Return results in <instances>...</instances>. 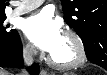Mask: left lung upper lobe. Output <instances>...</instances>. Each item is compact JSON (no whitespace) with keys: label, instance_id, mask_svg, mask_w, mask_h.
<instances>
[{"label":"left lung upper lobe","instance_id":"5c2ea615","mask_svg":"<svg viewBox=\"0 0 107 75\" xmlns=\"http://www.w3.org/2000/svg\"><path fill=\"white\" fill-rule=\"evenodd\" d=\"M64 20L91 55L100 43L107 44V0H61Z\"/></svg>","mask_w":107,"mask_h":75}]
</instances>
